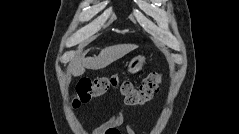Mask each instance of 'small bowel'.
<instances>
[{"mask_svg":"<svg viewBox=\"0 0 239 134\" xmlns=\"http://www.w3.org/2000/svg\"><path fill=\"white\" fill-rule=\"evenodd\" d=\"M127 111L126 108L121 109L115 115H113L107 122L94 128L93 134H120L119 127L124 122V114ZM127 134H135V123L132 122L127 125Z\"/></svg>","mask_w":239,"mask_h":134,"instance_id":"small-bowel-1","label":"small bowel"}]
</instances>
